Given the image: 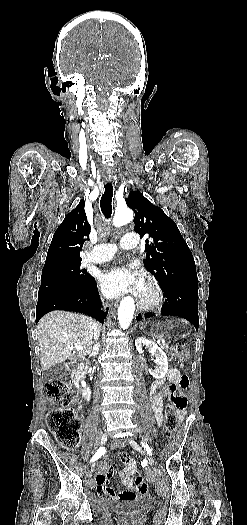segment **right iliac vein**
Wrapping results in <instances>:
<instances>
[{
  "label": "right iliac vein",
  "mask_w": 247,
  "mask_h": 525,
  "mask_svg": "<svg viewBox=\"0 0 247 525\" xmlns=\"http://www.w3.org/2000/svg\"><path fill=\"white\" fill-rule=\"evenodd\" d=\"M107 434H103L102 437H101V440H100V444L101 445H104L106 442H107ZM95 467H96V463H93L92 466H91V471L94 472L95 471Z\"/></svg>",
  "instance_id": "obj_1"
}]
</instances>
